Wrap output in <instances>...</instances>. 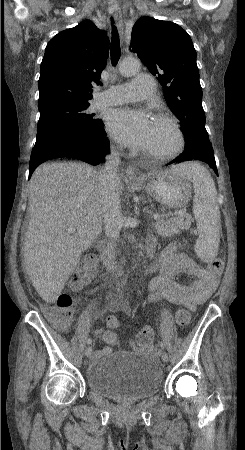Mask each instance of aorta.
<instances>
[{"instance_id":"762f6f07","label":"aorta","mask_w":245,"mask_h":450,"mask_svg":"<svg viewBox=\"0 0 245 450\" xmlns=\"http://www.w3.org/2000/svg\"><path fill=\"white\" fill-rule=\"evenodd\" d=\"M140 69V62L137 59H124L119 65V71L123 76L136 74Z\"/></svg>"}]
</instances>
